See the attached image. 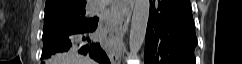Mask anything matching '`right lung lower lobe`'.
Returning <instances> with one entry per match:
<instances>
[{"mask_svg": "<svg viewBox=\"0 0 242 64\" xmlns=\"http://www.w3.org/2000/svg\"><path fill=\"white\" fill-rule=\"evenodd\" d=\"M97 22L92 27L70 31L52 38L43 47L41 58L47 59L59 52L76 51L83 55H89L92 59L99 62V64H110L105 51L99 43L93 40V33L97 28Z\"/></svg>", "mask_w": 242, "mask_h": 64, "instance_id": "obj_1", "label": "right lung lower lobe"}]
</instances>
